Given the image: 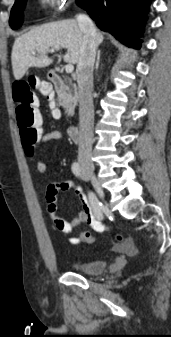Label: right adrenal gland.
I'll return each instance as SVG.
<instances>
[{"mask_svg": "<svg viewBox=\"0 0 171 337\" xmlns=\"http://www.w3.org/2000/svg\"><path fill=\"white\" fill-rule=\"evenodd\" d=\"M99 62H100V50L97 53V60H96V65H95L96 70H98L99 68Z\"/></svg>", "mask_w": 171, "mask_h": 337, "instance_id": "obj_1", "label": "right adrenal gland"}]
</instances>
